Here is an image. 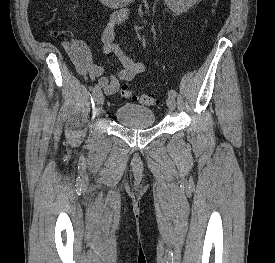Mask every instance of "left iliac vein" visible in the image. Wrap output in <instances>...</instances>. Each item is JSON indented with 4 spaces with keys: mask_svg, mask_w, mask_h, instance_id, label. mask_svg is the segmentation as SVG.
I'll use <instances>...</instances> for the list:
<instances>
[{
    "mask_svg": "<svg viewBox=\"0 0 275 263\" xmlns=\"http://www.w3.org/2000/svg\"><path fill=\"white\" fill-rule=\"evenodd\" d=\"M166 104L170 110H174L176 108V101L174 97H168Z\"/></svg>",
    "mask_w": 275,
    "mask_h": 263,
    "instance_id": "4c4485c4",
    "label": "left iliac vein"
}]
</instances>
